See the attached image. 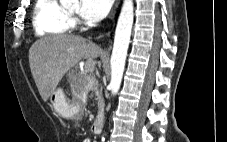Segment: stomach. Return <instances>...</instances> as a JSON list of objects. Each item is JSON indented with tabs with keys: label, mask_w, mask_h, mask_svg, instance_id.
<instances>
[{
	"label": "stomach",
	"mask_w": 227,
	"mask_h": 142,
	"mask_svg": "<svg viewBox=\"0 0 227 142\" xmlns=\"http://www.w3.org/2000/svg\"><path fill=\"white\" fill-rule=\"evenodd\" d=\"M49 98L53 108L66 118H74L80 111L69 102L62 89L53 91Z\"/></svg>",
	"instance_id": "0dacf381"
}]
</instances>
